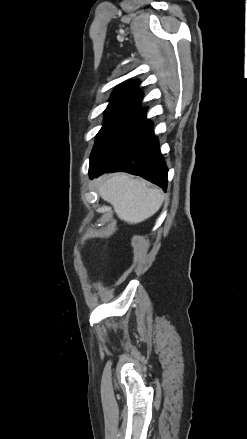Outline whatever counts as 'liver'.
Wrapping results in <instances>:
<instances>
[{
    "label": "liver",
    "instance_id": "6515ba94",
    "mask_svg": "<svg viewBox=\"0 0 247 439\" xmlns=\"http://www.w3.org/2000/svg\"><path fill=\"white\" fill-rule=\"evenodd\" d=\"M98 192L113 206L117 216L129 224L150 218L164 201V193L160 189L124 173L105 177L99 183Z\"/></svg>",
    "mask_w": 247,
    "mask_h": 439
}]
</instances>
